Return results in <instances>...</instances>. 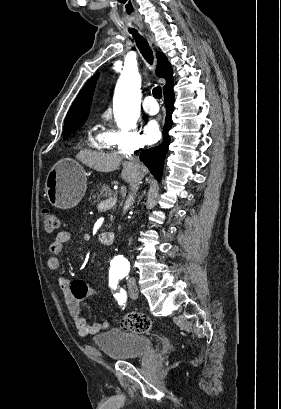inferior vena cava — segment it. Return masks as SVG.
Returning <instances> with one entry per match:
<instances>
[{
	"label": "inferior vena cava",
	"instance_id": "602c4592",
	"mask_svg": "<svg viewBox=\"0 0 281 409\" xmlns=\"http://www.w3.org/2000/svg\"><path fill=\"white\" fill-rule=\"evenodd\" d=\"M130 160H132L134 164V176H132L130 180V196H133V194H136L139 184L144 176V170H143V164L140 162L139 158H134V156H131ZM128 283H135V279H129Z\"/></svg>",
	"mask_w": 281,
	"mask_h": 409
}]
</instances>
